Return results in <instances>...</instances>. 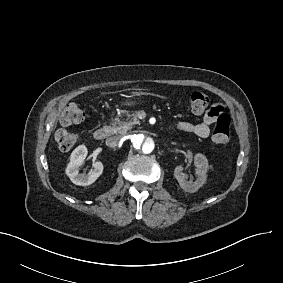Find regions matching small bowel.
Masks as SVG:
<instances>
[{"mask_svg": "<svg viewBox=\"0 0 283 283\" xmlns=\"http://www.w3.org/2000/svg\"><path fill=\"white\" fill-rule=\"evenodd\" d=\"M230 110V105L224 101L218 104L211 102L205 110L202 121L198 123L181 122L178 127L180 130L193 133L200 138H207L210 135L211 123L218 119L221 114L227 113Z\"/></svg>", "mask_w": 283, "mask_h": 283, "instance_id": "c3829d8e", "label": "small bowel"}]
</instances>
